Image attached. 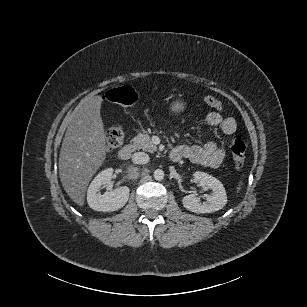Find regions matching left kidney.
<instances>
[{
    "mask_svg": "<svg viewBox=\"0 0 307 307\" xmlns=\"http://www.w3.org/2000/svg\"><path fill=\"white\" fill-rule=\"evenodd\" d=\"M194 176L195 180L198 181L199 185L204 189H212V195L209 196L204 203L196 199L194 194L184 196L181 200L183 207L197 214L212 213L222 209L227 203V196L222 183L206 173L196 172Z\"/></svg>",
    "mask_w": 307,
    "mask_h": 307,
    "instance_id": "5707ae66",
    "label": "left kidney"
}]
</instances>
